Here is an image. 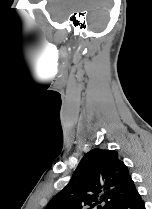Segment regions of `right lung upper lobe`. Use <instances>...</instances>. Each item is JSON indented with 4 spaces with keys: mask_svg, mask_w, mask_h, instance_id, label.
Returning <instances> with one entry per match:
<instances>
[{
    "mask_svg": "<svg viewBox=\"0 0 152 209\" xmlns=\"http://www.w3.org/2000/svg\"><path fill=\"white\" fill-rule=\"evenodd\" d=\"M134 187L129 170L116 151L93 149L84 155L68 185L45 209H92L99 199L105 205L98 208L112 209Z\"/></svg>",
    "mask_w": 152,
    "mask_h": 209,
    "instance_id": "right-lung-upper-lobe-1",
    "label": "right lung upper lobe"
}]
</instances>
